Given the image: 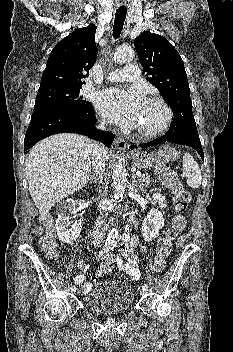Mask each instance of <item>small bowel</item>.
Masks as SVG:
<instances>
[{
    "label": "small bowel",
    "mask_w": 233,
    "mask_h": 352,
    "mask_svg": "<svg viewBox=\"0 0 233 352\" xmlns=\"http://www.w3.org/2000/svg\"><path fill=\"white\" fill-rule=\"evenodd\" d=\"M154 200L160 207H165V198L161 194L156 193ZM134 248H138L143 254L147 251L145 244L137 236L125 234L123 236V243L119 248L118 256L115 258V263L120 271L127 273L133 280H138L141 273L138 256L133 253ZM88 267V263L78 262V268L81 270V273L75 277V283L81 285L85 292H88L91 288V284L86 281L84 274L88 270Z\"/></svg>",
    "instance_id": "small-bowel-1"
}]
</instances>
